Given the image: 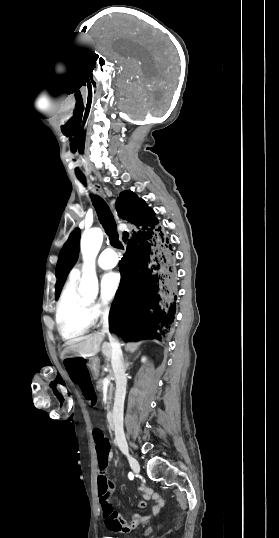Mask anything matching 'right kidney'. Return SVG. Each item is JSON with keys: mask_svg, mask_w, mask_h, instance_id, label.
<instances>
[{"mask_svg": "<svg viewBox=\"0 0 279 538\" xmlns=\"http://www.w3.org/2000/svg\"><path fill=\"white\" fill-rule=\"evenodd\" d=\"M146 358H142V362H145Z\"/></svg>", "mask_w": 279, "mask_h": 538, "instance_id": "ca27d5eb", "label": "right kidney"}]
</instances>
